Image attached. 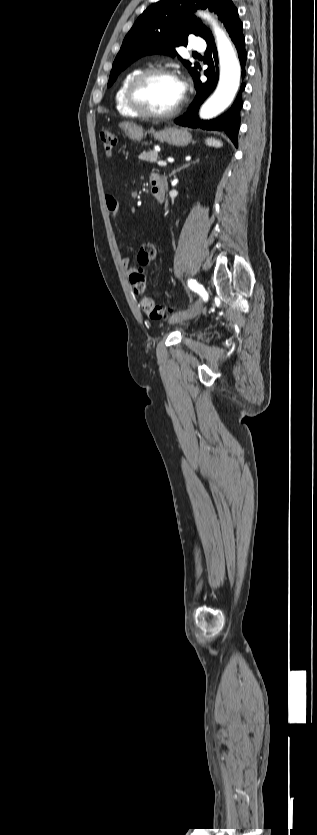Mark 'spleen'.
Here are the masks:
<instances>
[{"instance_id":"obj_1","label":"spleen","mask_w":317,"mask_h":835,"mask_svg":"<svg viewBox=\"0 0 317 835\" xmlns=\"http://www.w3.org/2000/svg\"><path fill=\"white\" fill-rule=\"evenodd\" d=\"M205 141H206V144H207L208 146L215 147V148H220V147H222V145H223V144H222V142H221L220 140H217V139L212 138V137H211V138H207Z\"/></svg>"}]
</instances>
